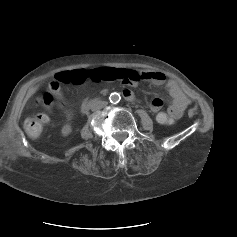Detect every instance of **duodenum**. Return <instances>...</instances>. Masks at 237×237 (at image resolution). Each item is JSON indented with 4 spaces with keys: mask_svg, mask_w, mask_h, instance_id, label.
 I'll use <instances>...</instances> for the list:
<instances>
[{
    "mask_svg": "<svg viewBox=\"0 0 237 237\" xmlns=\"http://www.w3.org/2000/svg\"><path fill=\"white\" fill-rule=\"evenodd\" d=\"M123 94H124L125 97H129V96H130L129 91H127V90H125V91L123 92ZM93 102H94V100L84 102V103L81 105V111H82V112L87 111Z\"/></svg>",
    "mask_w": 237,
    "mask_h": 237,
    "instance_id": "obj_1",
    "label": "duodenum"
}]
</instances>
